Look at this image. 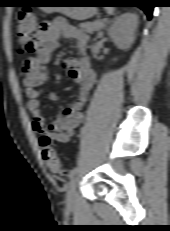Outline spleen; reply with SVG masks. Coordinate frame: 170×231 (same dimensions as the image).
Segmentation results:
<instances>
[{
	"label": "spleen",
	"mask_w": 170,
	"mask_h": 231,
	"mask_svg": "<svg viewBox=\"0 0 170 231\" xmlns=\"http://www.w3.org/2000/svg\"><path fill=\"white\" fill-rule=\"evenodd\" d=\"M106 11H107L108 14H113L114 8H112V7H107V8H106Z\"/></svg>",
	"instance_id": "1"
}]
</instances>
